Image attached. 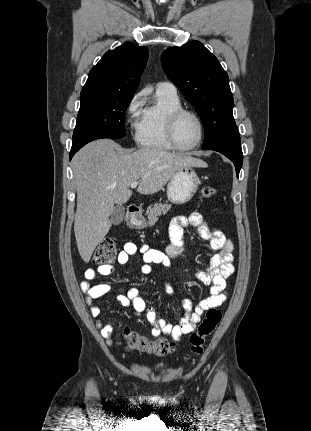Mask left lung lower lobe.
Masks as SVG:
<instances>
[{
  "mask_svg": "<svg viewBox=\"0 0 311 431\" xmlns=\"http://www.w3.org/2000/svg\"><path fill=\"white\" fill-rule=\"evenodd\" d=\"M209 150H214L222 153L227 158H229L235 165L237 177L243 163V153L241 149V143L233 142L226 143L223 145L215 146L209 148Z\"/></svg>",
  "mask_w": 311,
  "mask_h": 431,
  "instance_id": "0a47b994",
  "label": "left lung lower lobe"
}]
</instances>
